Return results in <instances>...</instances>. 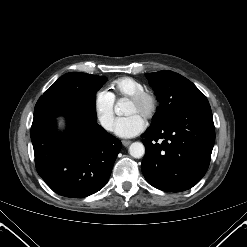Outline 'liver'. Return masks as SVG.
Instances as JSON below:
<instances>
[{
    "instance_id": "6515ba94",
    "label": "liver",
    "mask_w": 247,
    "mask_h": 247,
    "mask_svg": "<svg viewBox=\"0 0 247 247\" xmlns=\"http://www.w3.org/2000/svg\"><path fill=\"white\" fill-rule=\"evenodd\" d=\"M59 125H60V126L64 125V124H63V120H62V119L60 120Z\"/></svg>"
}]
</instances>
